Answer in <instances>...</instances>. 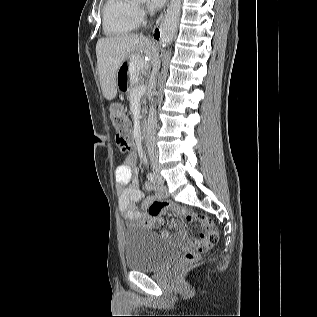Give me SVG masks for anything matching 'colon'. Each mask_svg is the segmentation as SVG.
<instances>
[{"label":"colon","mask_w":317,"mask_h":317,"mask_svg":"<svg viewBox=\"0 0 317 317\" xmlns=\"http://www.w3.org/2000/svg\"><path fill=\"white\" fill-rule=\"evenodd\" d=\"M110 121L115 132L117 147L123 152H129L132 159L134 148L133 131L123 108L114 104L110 108ZM172 211L187 216L189 211L177 204L168 201H153L148 207L151 217H158L162 212ZM218 235L212 225L206 226L198 239H191L187 244V250L179 262V267L184 269L194 265L200 256L211 249L217 242Z\"/></svg>","instance_id":"obj_1"}]
</instances>
